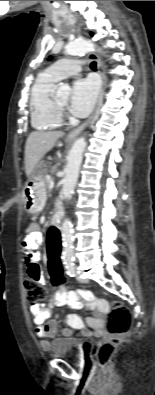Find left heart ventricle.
I'll return each instance as SVG.
<instances>
[{"label": "left heart ventricle", "mask_w": 155, "mask_h": 395, "mask_svg": "<svg viewBox=\"0 0 155 395\" xmlns=\"http://www.w3.org/2000/svg\"><path fill=\"white\" fill-rule=\"evenodd\" d=\"M55 98H56L57 102L62 106H66L68 103V96L67 95H57Z\"/></svg>", "instance_id": "left-heart-ventricle-1"}]
</instances>
